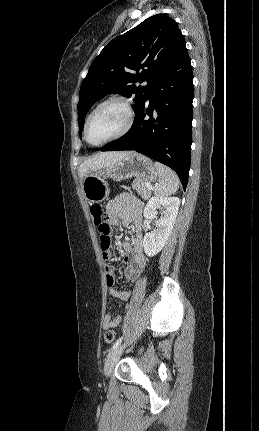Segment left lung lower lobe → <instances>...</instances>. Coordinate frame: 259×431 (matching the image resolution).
<instances>
[{"label": "left lung lower lobe", "instance_id": "0a47b994", "mask_svg": "<svg viewBox=\"0 0 259 431\" xmlns=\"http://www.w3.org/2000/svg\"><path fill=\"white\" fill-rule=\"evenodd\" d=\"M193 73L183 41L162 67L131 129L100 150H135L172 168L186 189L192 137ZM149 116V118H147Z\"/></svg>", "mask_w": 259, "mask_h": 431}]
</instances>
